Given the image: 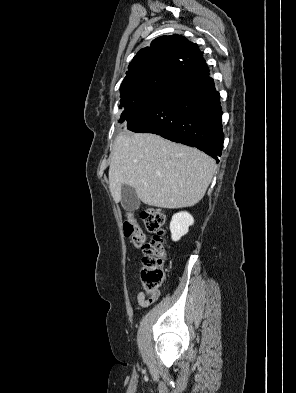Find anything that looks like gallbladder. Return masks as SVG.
Returning a JSON list of instances; mask_svg holds the SVG:
<instances>
[{
  "instance_id": "obj_1",
  "label": "gallbladder",
  "mask_w": 296,
  "mask_h": 393,
  "mask_svg": "<svg viewBox=\"0 0 296 393\" xmlns=\"http://www.w3.org/2000/svg\"><path fill=\"white\" fill-rule=\"evenodd\" d=\"M121 204L127 211H135L140 206V200L135 189L129 185H123L121 188Z\"/></svg>"
}]
</instances>
